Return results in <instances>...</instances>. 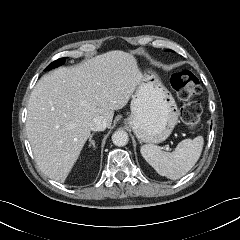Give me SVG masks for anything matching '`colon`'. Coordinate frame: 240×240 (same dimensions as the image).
Instances as JSON below:
<instances>
[{"mask_svg":"<svg viewBox=\"0 0 240 240\" xmlns=\"http://www.w3.org/2000/svg\"><path fill=\"white\" fill-rule=\"evenodd\" d=\"M179 100L182 102L181 119L192 131L200 127L202 108L198 96L202 91L198 78L188 70L174 73L170 79Z\"/></svg>","mask_w":240,"mask_h":240,"instance_id":"5ec220e1","label":"colon"}]
</instances>
